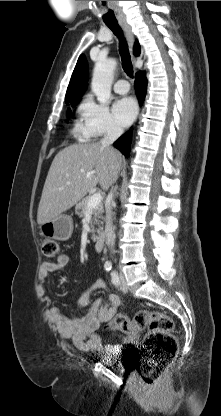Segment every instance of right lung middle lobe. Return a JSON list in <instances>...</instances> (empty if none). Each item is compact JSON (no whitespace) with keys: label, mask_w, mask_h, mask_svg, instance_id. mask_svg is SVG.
Returning <instances> with one entry per match:
<instances>
[{"label":"right lung middle lobe","mask_w":221,"mask_h":416,"mask_svg":"<svg viewBox=\"0 0 221 416\" xmlns=\"http://www.w3.org/2000/svg\"><path fill=\"white\" fill-rule=\"evenodd\" d=\"M78 102H79V101H74V102H71V103H70V105H71L72 107H74V106H76V105L78 104ZM68 114H69V115L71 114V110H70V109L68 110Z\"/></svg>","instance_id":"right-lung-middle-lobe-1"}]
</instances>
